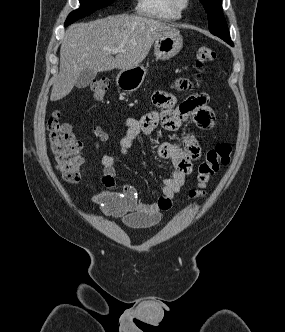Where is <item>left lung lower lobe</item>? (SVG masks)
I'll use <instances>...</instances> for the list:
<instances>
[{
    "label": "left lung lower lobe",
    "instance_id": "obj_1",
    "mask_svg": "<svg viewBox=\"0 0 285 332\" xmlns=\"http://www.w3.org/2000/svg\"><path fill=\"white\" fill-rule=\"evenodd\" d=\"M227 43L233 46V43H232V42H227Z\"/></svg>",
    "mask_w": 285,
    "mask_h": 332
}]
</instances>
